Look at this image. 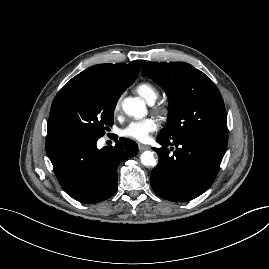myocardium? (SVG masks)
<instances>
[{
    "mask_svg": "<svg viewBox=\"0 0 269 269\" xmlns=\"http://www.w3.org/2000/svg\"><path fill=\"white\" fill-rule=\"evenodd\" d=\"M154 111L160 116H167L169 113V106L167 104H159L154 108Z\"/></svg>",
    "mask_w": 269,
    "mask_h": 269,
    "instance_id": "1",
    "label": "myocardium"
}]
</instances>
